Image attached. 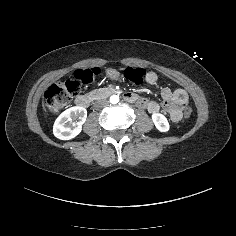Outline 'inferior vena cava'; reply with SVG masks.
Returning <instances> with one entry per match:
<instances>
[{
    "label": "inferior vena cava",
    "instance_id": "obj_1",
    "mask_svg": "<svg viewBox=\"0 0 236 236\" xmlns=\"http://www.w3.org/2000/svg\"><path fill=\"white\" fill-rule=\"evenodd\" d=\"M106 105V100H99L94 103V107L97 108V106L100 108L101 106Z\"/></svg>",
    "mask_w": 236,
    "mask_h": 236
}]
</instances>
